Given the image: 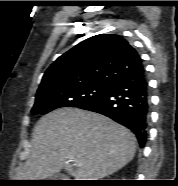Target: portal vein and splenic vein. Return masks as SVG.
I'll use <instances>...</instances> for the list:
<instances>
[{
  "mask_svg": "<svg viewBox=\"0 0 178 186\" xmlns=\"http://www.w3.org/2000/svg\"><path fill=\"white\" fill-rule=\"evenodd\" d=\"M68 159H70L71 161H74V158H73V157H71V156H70V157H68Z\"/></svg>",
  "mask_w": 178,
  "mask_h": 186,
  "instance_id": "18ae733b",
  "label": "portal vein and splenic vein"
}]
</instances>
